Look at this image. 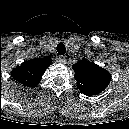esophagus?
I'll return each instance as SVG.
<instances>
[{
	"label": "esophagus",
	"mask_w": 129,
	"mask_h": 129,
	"mask_svg": "<svg viewBox=\"0 0 129 129\" xmlns=\"http://www.w3.org/2000/svg\"><path fill=\"white\" fill-rule=\"evenodd\" d=\"M59 62L66 63V57L65 56H59L58 57Z\"/></svg>",
	"instance_id": "obj_1"
}]
</instances>
